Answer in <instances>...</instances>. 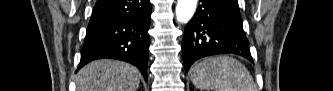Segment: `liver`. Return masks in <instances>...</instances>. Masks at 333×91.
I'll return each mask as SVG.
<instances>
[{"label": "liver", "instance_id": "obj_1", "mask_svg": "<svg viewBox=\"0 0 333 91\" xmlns=\"http://www.w3.org/2000/svg\"><path fill=\"white\" fill-rule=\"evenodd\" d=\"M77 91H136L139 71L136 67L115 60H96L79 70Z\"/></svg>", "mask_w": 333, "mask_h": 91}]
</instances>
